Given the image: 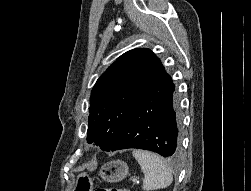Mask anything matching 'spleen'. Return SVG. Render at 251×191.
Wrapping results in <instances>:
<instances>
[{"instance_id":"3e777b00","label":"spleen","mask_w":251,"mask_h":191,"mask_svg":"<svg viewBox=\"0 0 251 191\" xmlns=\"http://www.w3.org/2000/svg\"><path fill=\"white\" fill-rule=\"evenodd\" d=\"M132 155L140 163L144 173L142 187L145 191L163 189L172 183V169L161 155L146 151V149H133Z\"/></svg>"}]
</instances>
